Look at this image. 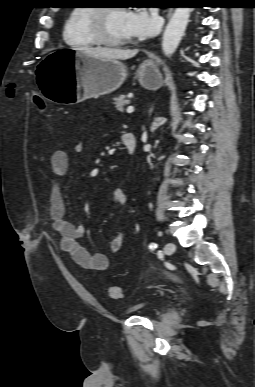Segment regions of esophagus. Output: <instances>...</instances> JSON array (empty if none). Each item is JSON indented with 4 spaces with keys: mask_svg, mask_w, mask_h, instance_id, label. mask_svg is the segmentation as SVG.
Returning a JSON list of instances; mask_svg holds the SVG:
<instances>
[{
    "mask_svg": "<svg viewBox=\"0 0 255 387\" xmlns=\"http://www.w3.org/2000/svg\"><path fill=\"white\" fill-rule=\"evenodd\" d=\"M171 14H172V10H169V12L167 14V18H170Z\"/></svg>",
    "mask_w": 255,
    "mask_h": 387,
    "instance_id": "34e87169",
    "label": "esophagus"
}]
</instances>
